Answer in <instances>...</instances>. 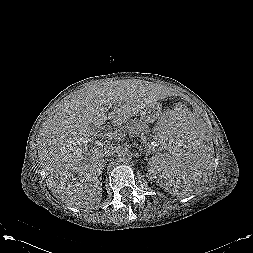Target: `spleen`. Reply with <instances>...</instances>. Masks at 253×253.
<instances>
[{"mask_svg":"<svg viewBox=\"0 0 253 253\" xmlns=\"http://www.w3.org/2000/svg\"><path fill=\"white\" fill-rule=\"evenodd\" d=\"M151 136L149 171L174 196H190L208 181L211 143L203 114L195 104H174L154 120Z\"/></svg>","mask_w":253,"mask_h":253,"instance_id":"obj_1","label":"spleen"}]
</instances>
